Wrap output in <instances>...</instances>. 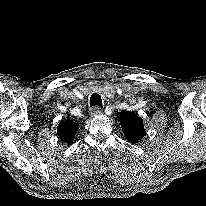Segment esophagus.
I'll list each match as a JSON object with an SVG mask.
<instances>
[{
	"instance_id": "obj_1",
	"label": "esophagus",
	"mask_w": 206,
	"mask_h": 206,
	"mask_svg": "<svg viewBox=\"0 0 206 206\" xmlns=\"http://www.w3.org/2000/svg\"><path fill=\"white\" fill-rule=\"evenodd\" d=\"M91 116H100L102 114V110L100 107H94L90 111Z\"/></svg>"
}]
</instances>
